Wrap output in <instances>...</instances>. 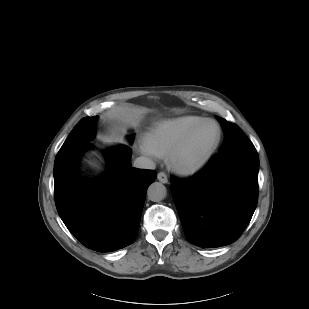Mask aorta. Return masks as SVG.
Listing matches in <instances>:
<instances>
[{
  "instance_id": "762f6f07",
  "label": "aorta",
  "mask_w": 309,
  "mask_h": 309,
  "mask_svg": "<svg viewBox=\"0 0 309 309\" xmlns=\"http://www.w3.org/2000/svg\"><path fill=\"white\" fill-rule=\"evenodd\" d=\"M147 194L151 201L159 202L166 197L167 189L162 183L154 182L148 187Z\"/></svg>"
}]
</instances>
